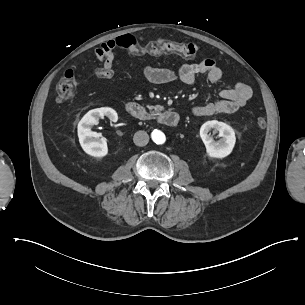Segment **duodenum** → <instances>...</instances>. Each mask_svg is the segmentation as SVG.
<instances>
[{
  "label": "duodenum",
  "instance_id": "obj_1",
  "mask_svg": "<svg viewBox=\"0 0 305 305\" xmlns=\"http://www.w3.org/2000/svg\"><path fill=\"white\" fill-rule=\"evenodd\" d=\"M124 109L128 115L135 119L145 120L149 118L147 110L138 102H127ZM157 121L166 127H175L179 122V116L172 110H163L156 115Z\"/></svg>",
  "mask_w": 305,
  "mask_h": 305
}]
</instances>
